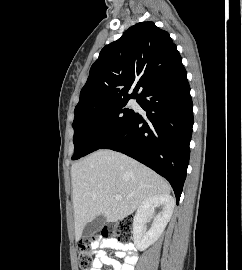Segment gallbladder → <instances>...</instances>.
<instances>
[{
	"mask_svg": "<svg viewBox=\"0 0 242 270\" xmlns=\"http://www.w3.org/2000/svg\"><path fill=\"white\" fill-rule=\"evenodd\" d=\"M106 224V217L99 215L91 222L87 223L83 230L85 238L91 237L94 233L98 232Z\"/></svg>",
	"mask_w": 242,
	"mask_h": 270,
	"instance_id": "bac80fb5",
	"label": "gallbladder"
}]
</instances>
